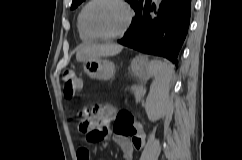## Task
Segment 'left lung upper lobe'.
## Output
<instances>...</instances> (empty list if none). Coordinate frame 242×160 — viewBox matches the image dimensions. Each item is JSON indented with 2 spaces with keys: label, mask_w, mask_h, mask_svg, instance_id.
<instances>
[{
  "label": "left lung upper lobe",
  "mask_w": 242,
  "mask_h": 160,
  "mask_svg": "<svg viewBox=\"0 0 242 160\" xmlns=\"http://www.w3.org/2000/svg\"><path fill=\"white\" fill-rule=\"evenodd\" d=\"M84 0H73L71 9L76 8L80 3ZM128 3L131 4L133 9L135 10L136 14L140 12L146 0H126Z\"/></svg>",
  "instance_id": "1"
}]
</instances>
